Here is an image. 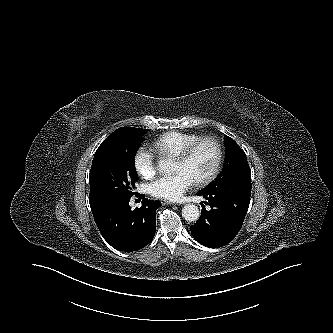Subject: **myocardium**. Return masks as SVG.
I'll list each match as a JSON object with an SVG mask.
<instances>
[{"instance_id": "1", "label": "myocardium", "mask_w": 333, "mask_h": 333, "mask_svg": "<svg viewBox=\"0 0 333 333\" xmlns=\"http://www.w3.org/2000/svg\"><path fill=\"white\" fill-rule=\"evenodd\" d=\"M204 142H210L215 146L216 149V161L215 164L211 170V172L203 179L195 181V183L199 186H205L210 184L211 182H213L222 167V163H223V158H224V153H223V148L221 143L214 137L212 136H205V137H200L197 140L193 141L192 143H190L177 157L176 160L181 161V162H185L188 159H190V157L193 155V153L195 152V150L198 148V146Z\"/></svg>"}]
</instances>
